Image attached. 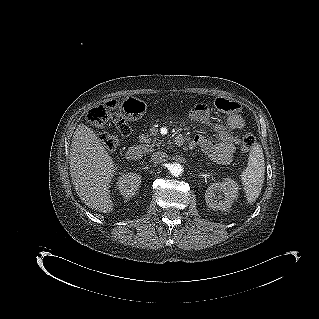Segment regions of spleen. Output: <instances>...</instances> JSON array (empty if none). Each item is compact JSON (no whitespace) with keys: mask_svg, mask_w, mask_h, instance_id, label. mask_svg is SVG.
I'll list each match as a JSON object with an SVG mask.
<instances>
[{"mask_svg":"<svg viewBox=\"0 0 319 319\" xmlns=\"http://www.w3.org/2000/svg\"><path fill=\"white\" fill-rule=\"evenodd\" d=\"M264 175L263 150L261 145L254 143L249 153L247 168L241 175L248 202L255 201L261 193Z\"/></svg>","mask_w":319,"mask_h":319,"instance_id":"1","label":"spleen"}]
</instances>
